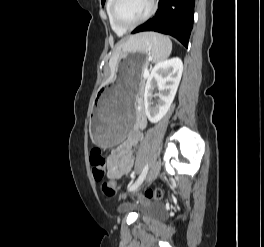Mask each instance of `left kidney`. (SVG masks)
Returning <instances> with one entry per match:
<instances>
[{"mask_svg": "<svg viewBox=\"0 0 264 247\" xmlns=\"http://www.w3.org/2000/svg\"><path fill=\"white\" fill-rule=\"evenodd\" d=\"M183 71L180 58L158 62L147 78L144 90L145 113L151 123L159 122L169 110L176 95ZM159 90L156 105L152 101L153 92Z\"/></svg>", "mask_w": 264, "mask_h": 247, "instance_id": "5707ae66", "label": "left kidney"}]
</instances>
